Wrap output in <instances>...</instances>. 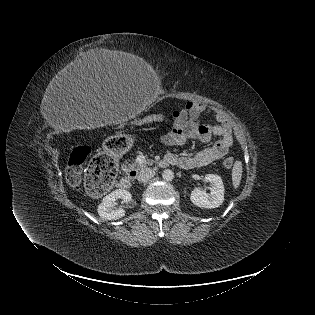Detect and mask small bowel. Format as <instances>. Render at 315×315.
<instances>
[{"instance_id":"obj_1","label":"small bowel","mask_w":315,"mask_h":315,"mask_svg":"<svg viewBox=\"0 0 315 315\" xmlns=\"http://www.w3.org/2000/svg\"><path fill=\"white\" fill-rule=\"evenodd\" d=\"M204 113H211L218 123L216 125L199 123L198 120ZM171 118L172 128L161 137V141L165 144L180 147L190 139L208 143L213 137H219L212 145L194 155L168 154L166 158L171 159L174 165L183 169L206 166L223 158L232 146V130L225 115L208 108L203 103L188 102L183 109L173 111Z\"/></svg>"}]
</instances>
